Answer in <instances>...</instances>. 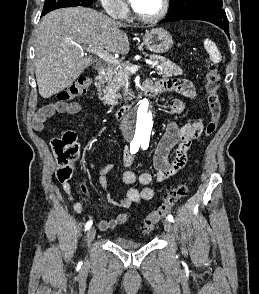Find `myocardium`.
Returning a JSON list of instances; mask_svg holds the SVG:
<instances>
[{"mask_svg": "<svg viewBox=\"0 0 259 294\" xmlns=\"http://www.w3.org/2000/svg\"><path fill=\"white\" fill-rule=\"evenodd\" d=\"M170 0H161V9L158 13L151 16H143L133 9L134 16L137 20L144 23H153L163 19L169 12Z\"/></svg>", "mask_w": 259, "mask_h": 294, "instance_id": "myocardium-1", "label": "myocardium"}]
</instances>
